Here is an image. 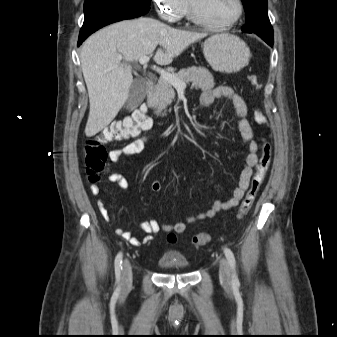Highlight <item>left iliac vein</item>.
Returning a JSON list of instances; mask_svg holds the SVG:
<instances>
[{
    "label": "left iliac vein",
    "instance_id": "4c4485c4",
    "mask_svg": "<svg viewBox=\"0 0 337 337\" xmlns=\"http://www.w3.org/2000/svg\"><path fill=\"white\" fill-rule=\"evenodd\" d=\"M219 277L224 286H230L231 284V270L229 262L225 258L220 259L219 265Z\"/></svg>",
    "mask_w": 337,
    "mask_h": 337
}]
</instances>
